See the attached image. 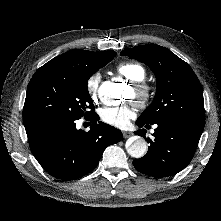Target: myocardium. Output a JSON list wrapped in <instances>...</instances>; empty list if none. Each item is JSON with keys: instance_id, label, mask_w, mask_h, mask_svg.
<instances>
[{"instance_id": "obj_1", "label": "myocardium", "mask_w": 221, "mask_h": 221, "mask_svg": "<svg viewBox=\"0 0 221 221\" xmlns=\"http://www.w3.org/2000/svg\"><path fill=\"white\" fill-rule=\"evenodd\" d=\"M133 89V97L141 104L145 105L151 99L152 88L145 81H134L131 83Z\"/></svg>"}]
</instances>
